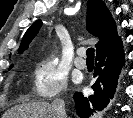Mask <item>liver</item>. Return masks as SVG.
<instances>
[{"label":"liver","instance_id":"obj_1","mask_svg":"<svg viewBox=\"0 0 133 118\" xmlns=\"http://www.w3.org/2000/svg\"><path fill=\"white\" fill-rule=\"evenodd\" d=\"M3 118H56V114L51 104L33 102L11 108Z\"/></svg>","mask_w":133,"mask_h":118}]
</instances>
